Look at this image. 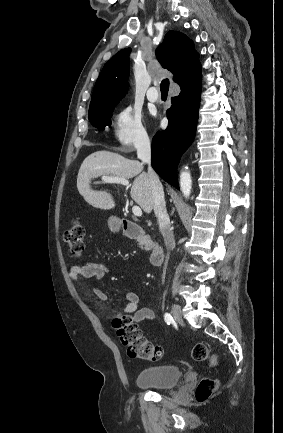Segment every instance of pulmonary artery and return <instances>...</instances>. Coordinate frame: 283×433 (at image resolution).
<instances>
[{
	"mask_svg": "<svg viewBox=\"0 0 283 433\" xmlns=\"http://www.w3.org/2000/svg\"><path fill=\"white\" fill-rule=\"evenodd\" d=\"M146 96L151 102H157L161 99V96L157 94V90L155 88H150Z\"/></svg>",
	"mask_w": 283,
	"mask_h": 433,
	"instance_id": "obj_1",
	"label": "pulmonary artery"
}]
</instances>
